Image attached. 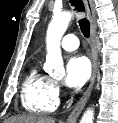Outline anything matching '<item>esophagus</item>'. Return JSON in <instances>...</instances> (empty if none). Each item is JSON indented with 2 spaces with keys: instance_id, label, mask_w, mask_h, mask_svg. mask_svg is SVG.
<instances>
[{
  "instance_id": "34e87169",
  "label": "esophagus",
  "mask_w": 118,
  "mask_h": 123,
  "mask_svg": "<svg viewBox=\"0 0 118 123\" xmlns=\"http://www.w3.org/2000/svg\"><path fill=\"white\" fill-rule=\"evenodd\" d=\"M87 17L90 22L91 33H90V43H91V60H92V76L90 79V84L86 91L83 93L76 106L68 116L66 122L67 123H75L84 109L90 95L95 82L96 74H97V49H96V16L94 3L92 0H83Z\"/></svg>"
}]
</instances>
